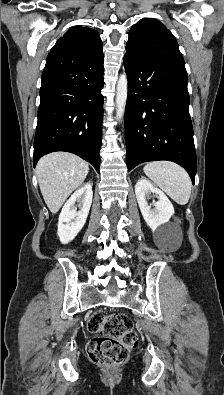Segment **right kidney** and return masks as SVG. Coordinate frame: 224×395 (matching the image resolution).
<instances>
[{
  "label": "right kidney",
  "instance_id": "ca27d5eb",
  "mask_svg": "<svg viewBox=\"0 0 224 395\" xmlns=\"http://www.w3.org/2000/svg\"><path fill=\"white\" fill-rule=\"evenodd\" d=\"M92 184L86 183L75 191L63 206L59 215L57 234L61 243L71 242L85 225L91 203ZM79 203L80 210L77 211L75 203Z\"/></svg>",
  "mask_w": 224,
  "mask_h": 395
}]
</instances>
